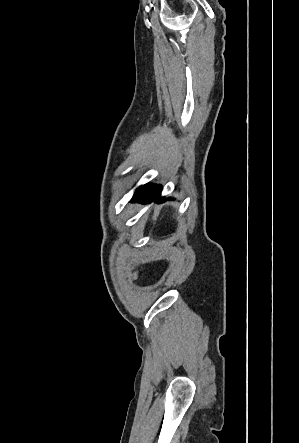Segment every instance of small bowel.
<instances>
[{
	"label": "small bowel",
	"instance_id": "obj_1",
	"mask_svg": "<svg viewBox=\"0 0 299 443\" xmlns=\"http://www.w3.org/2000/svg\"><path fill=\"white\" fill-rule=\"evenodd\" d=\"M139 276H140V274L137 272V273L134 274L133 278H134V279H138Z\"/></svg>",
	"mask_w": 299,
	"mask_h": 443
}]
</instances>
